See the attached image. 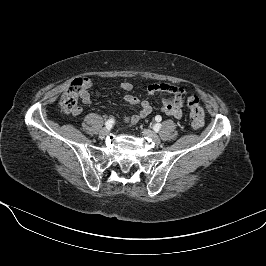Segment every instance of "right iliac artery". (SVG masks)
<instances>
[{
	"instance_id": "right-iliac-artery-1",
	"label": "right iliac artery",
	"mask_w": 266,
	"mask_h": 266,
	"mask_svg": "<svg viewBox=\"0 0 266 266\" xmlns=\"http://www.w3.org/2000/svg\"><path fill=\"white\" fill-rule=\"evenodd\" d=\"M114 123H115V120L113 118H111V119L106 121L105 126H106V128L110 129Z\"/></svg>"
}]
</instances>
